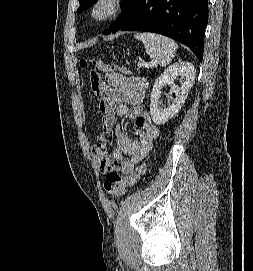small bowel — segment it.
<instances>
[{"instance_id":"obj_1","label":"small bowel","mask_w":253,"mask_h":271,"mask_svg":"<svg viewBox=\"0 0 253 271\" xmlns=\"http://www.w3.org/2000/svg\"><path fill=\"white\" fill-rule=\"evenodd\" d=\"M107 82H102V89L96 94L102 131L96 136L92 153L98 167L107 176L111 172L126 175L150 152L154 140L159 136L155 125L146 110L133 108L144 99L147 82L140 76H127L116 71L105 72ZM128 116L134 122L137 139L126 137L119 125L115 126L116 117ZM115 129L116 144L108 145L107 135Z\"/></svg>"}]
</instances>
